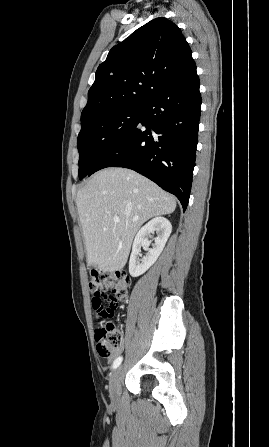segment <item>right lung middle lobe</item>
Wrapping results in <instances>:
<instances>
[{"mask_svg": "<svg viewBox=\"0 0 269 447\" xmlns=\"http://www.w3.org/2000/svg\"><path fill=\"white\" fill-rule=\"evenodd\" d=\"M144 108V104L120 107L81 124L77 139L79 179L139 124Z\"/></svg>", "mask_w": 269, "mask_h": 447, "instance_id": "1", "label": "right lung middle lobe"}]
</instances>
